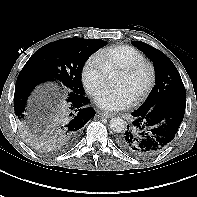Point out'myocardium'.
Wrapping results in <instances>:
<instances>
[{"label": "myocardium", "instance_id": "myocardium-1", "mask_svg": "<svg viewBox=\"0 0 197 197\" xmlns=\"http://www.w3.org/2000/svg\"><path fill=\"white\" fill-rule=\"evenodd\" d=\"M143 68H147L149 70V81L145 89L136 98H134L133 100L134 103H139L145 100L152 92L156 83V69L154 65L150 61L141 60L126 68L121 69L118 72V74L120 75L131 77V76L136 75Z\"/></svg>", "mask_w": 197, "mask_h": 197}]
</instances>
